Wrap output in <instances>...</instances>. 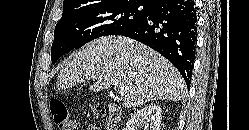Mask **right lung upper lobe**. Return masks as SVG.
Segmentation results:
<instances>
[{
    "label": "right lung upper lobe",
    "instance_id": "1",
    "mask_svg": "<svg viewBox=\"0 0 249 130\" xmlns=\"http://www.w3.org/2000/svg\"><path fill=\"white\" fill-rule=\"evenodd\" d=\"M106 1H112V0H64L63 12L78 10L86 6H91V5L106 2ZM132 1H135V0H132ZM137 1L146 2L151 6L157 0H137Z\"/></svg>",
    "mask_w": 249,
    "mask_h": 130
}]
</instances>
